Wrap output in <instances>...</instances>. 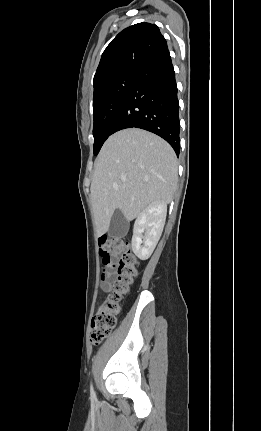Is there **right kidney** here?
<instances>
[{"label": "right kidney", "instance_id": "1", "mask_svg": "<svg viewBox=\"0 0 261 431\" xmlns=\"http://www.w3.org/2000/svg\"><path fill=\"white\" fill-rule=\"evenodd\" d=\"M166 214V203L153 202L137 217L132 236V250L139 259L146 260L151 256L162 234Z\"/></svg>", "mask_w": 261, "mask_h": 431}]
</instances>
